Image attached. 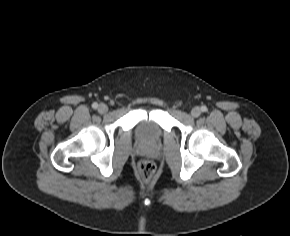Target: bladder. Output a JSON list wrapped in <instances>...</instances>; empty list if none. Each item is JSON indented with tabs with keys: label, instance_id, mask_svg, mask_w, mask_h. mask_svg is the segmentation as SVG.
<instances>
[{
	"label": "bladder",
	"instance_id": "31cf9c89",
	"mask_svg": "<svg viewBox=\"0 0 290 236\" xmlns=\"http://www.w3.org/2000/svg\"><path fill=\"white\" fill-rule=\"evenodd\" d=\"M137 133L142 141L152 142L160 137L161 129L155 120L146 119L138 124Z\"/></svg>",
	"mask_w": 290,
	"mask_h": 236
}]
</instances>
